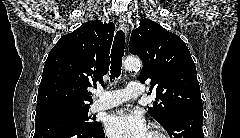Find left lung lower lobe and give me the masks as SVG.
I'll list each match as a JSON object with an SVG mask.
<instances>
[{"label": "left lung lower lobe", "instance_id": "0a47b994", "mask_svg": "<svg viewBox=\"0 0 240 138\" xmlns=\"http://www.w3.org/2000/svg\"><path fill=\"white\" fill-rule=\"evenodd\" d=\"M202 109H191L174 116L164 127L170 138H204Z\"/></svg>", "mask_w": 240, "mask_h": 138}]
</instances>
